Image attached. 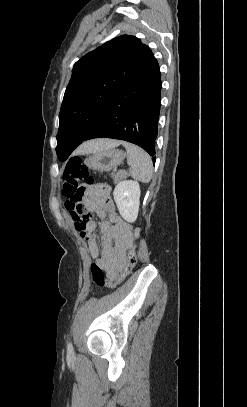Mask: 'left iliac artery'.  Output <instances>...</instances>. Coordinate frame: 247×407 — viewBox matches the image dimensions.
Listing matches in <instances>:
<instances>
[{
    "label": "left iliac artery",
    "instance_id": "44dca946",
    "mask_svg": "<svg viewBox=\"0 0 247 407\" xmlns=\"http://www.w3.org/2000/svg\"><path fill=\"white\" fill-rule=\"evenodd\" d=\"M67 350H68L69 352H72V351H73V346H72V344H71L70 342L67 344Z\"/></svg>",
    "mask_w": 247,
    "mask_h": 407
}]
</instances>
